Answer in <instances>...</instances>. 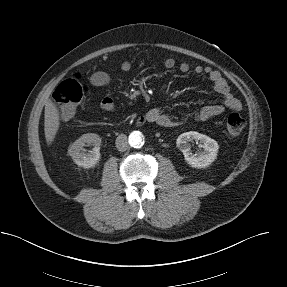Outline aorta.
Listing matches in <instances>:
<instances>
[{"mask_svg":"<svg viewBox=\"0 0 287 287\" xmlns=\"http://www.w3.org/2000/svg\"><path fill=\"white\" fill-rule=\"evenodd\" d=\"M129 144L131 147L140 148L143 144V135L139 131H134L129 135Z\"/></svg>","mask_w":287,"mask_h":287,"instance_id":"762f6f07","label":"aorta"}]
</instances>
